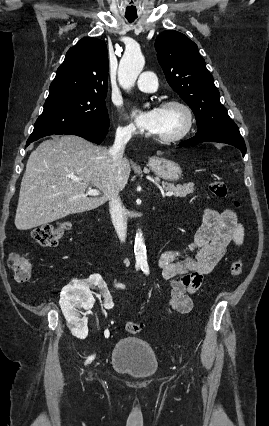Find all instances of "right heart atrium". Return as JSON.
I'll return each mask as SVG.
<instances>
[{
  "label": "right heart atrium",
  "mask_w": 269,
  "mask_h": 426,
  "mask_svg": "<svg viewBox=\"0 0 269 426\" xmlns=\"http://www.w3.org/2000/svg\"><path fill=\"white\" fill-rule=\"evenodd\" d=\"M117 132L122 136H132L135 134V127L130 123L121 122L117 128Z\"/></svg>",
  "instance_id": "obj_1"
}]
</instances>
